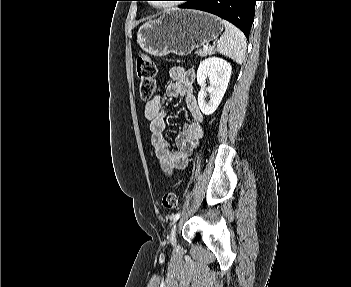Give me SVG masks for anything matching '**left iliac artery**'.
I'll return each instance as SVG.
<instances>
[{
	"label": "left iliac artery",
	"mask_w": 351,
	"mask_h": 287,
	"mask_svg": "<svg viewBox=\"0 0 351 287\" xmlns=\"http://www.w3.org/2000/svg\"><path fill=\"white\" fill-rule=\"evenodd\" d=\"M179 217H180V212H178V213H176L175 215H173V216L171 217L172 222L175 223V222L179 219ZM173 223H172V224H173Z\"/></svg>",
	"instance_id": "obj_1"
}]
</instances>
